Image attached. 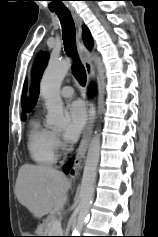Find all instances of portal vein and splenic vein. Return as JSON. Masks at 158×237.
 I'll return each instance as SVG.
<instances>
[{"instance_id":"18ae733b","label":"portal vein and splenic vein","mask_w":158,"mask_h":237,"mask_svg":"<svg viewBox=\"0 0 158 237\" xmlns=\"http://www.w3.org/2000/svg\"><path fill=\"white\" fill-rule=\"evenodd\" d=\"M52 224L54 228H58L60 232L62 231L61 223L59 222V220H57L56 218H52Z\"/></svg>"}]
</instances>
